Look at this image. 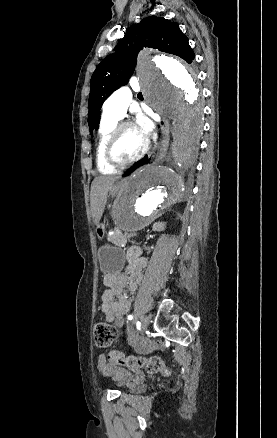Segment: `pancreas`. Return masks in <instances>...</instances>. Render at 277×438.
Listing matches in <instances>:
<instances>
[{"instance_id":"cf45deb5","label":"pancreas","mask_w":277,"mask_h":438,"mask_svg":"<svg viewBox=\"0 0 277 438\" xmlns=\"http://www.w3.org/2000/svg\"><path fill=\"white\" fill-rule=\"evenodd\" d=\"M124 234L125 231L122 228L117 229V231H110L106 241L109 244L113 243L116 248H119L122 244H127L128 242V237Z\"/></svg>"}]
</instances>
